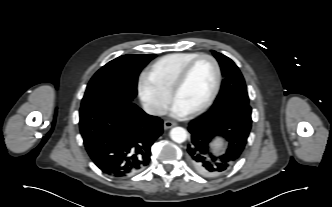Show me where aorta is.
<instances>
[{
    "label": "aorta",
    "mask_w": 332,
    "mask_h": 207,
    "mask_svg": "<svg viewBox=\"0 0 332 207\" xmlns=\"http://www.w3.org/2000/svg\"><path fill=\"white\" fill-rule=\"evenodd\" d=\"M170 137L176 143H183L187 139V131L182 127H174L170 131Z\"/></svg>",
    "instance_id": "aorta-1"
}]
</instances>
